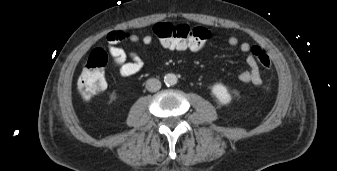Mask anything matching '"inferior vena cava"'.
Returning a JSON list of instances; mask_svg holds the SVG:
<instances>
[{
	"label": "inferior vena cava",
	"mask_w": 337,
	"mask_h": 171,
	"mask_svg": "<svg viewBox=\"0 0 337 171\" xmlns=\"http://www.w3.org/2000/svg\"><path fill=\"white\" fill-rule=\"evenodd\" d=\"M161 88V82L156 78H150L146 81V89L150 92H156Z\"/></svg>",
	"instance_id": "obj_1"
}]
</instances>
